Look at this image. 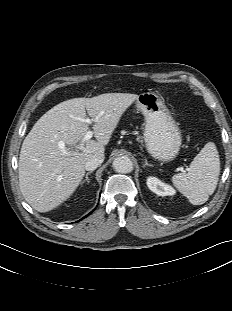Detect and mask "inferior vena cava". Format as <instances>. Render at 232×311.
<instances>
[{"label": "inferior vena cava", "mask_w": 232, "mask_h": 311, "mask_svg": "<svg viewBox=\"0 0 232 311\" xmlns=\"http://www.w3.org/2000/svg\"><path fill=\"white\" fill-rule=\"evenodd\" d=\"M103 160H104V158L101 156H94V157L88 159L85 162V170H87V171L95 170L99 165H101Z\"/></svg>", "instance_id": "602c4592"}]
</instances>
